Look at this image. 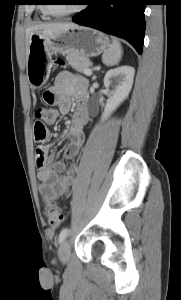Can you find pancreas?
Segmentation results:
<instances>
[{
	"instance_id": "obj_1",
	"label": "pancreas",
	"mask_w": 181,
	"mask_h": 300,
	"mask_svg": "<svg viewBox=\"0 0 181 300\" xmlns=\"http://www.w3.org/2000/svg\"><path fill=\"white\" fill-rule=\"evenodd\" d=\"M66 60L75 70L80 73H84L86 69H89V59L83 57L81 54L76 52L68 53Z\"/></svg>"
}]
</instances>
